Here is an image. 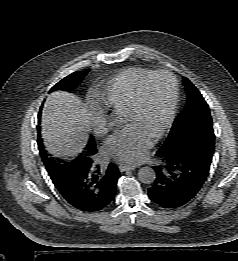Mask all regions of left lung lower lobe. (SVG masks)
<instances>
[{
	"mask_svg": "<svg viewBox=\"0 0 238 261\" xmlns=\"http://www.w3.org/2000/svg\"><path fill=\"white\" fill-rule=\"evenodd\" d=\"M213 151L210 141L203 140L177 151L157 153L160 164L153 166L156 178L148 189L149 198L164 208L188 203L208 176Z\"/></svg>",
	"mask_w": 238,
	"mask_h": 261,
	"instance_id": "obj_1",
	"label": "left lung lower lobe"
}]
</instances>
